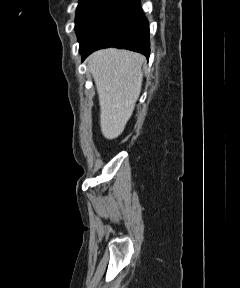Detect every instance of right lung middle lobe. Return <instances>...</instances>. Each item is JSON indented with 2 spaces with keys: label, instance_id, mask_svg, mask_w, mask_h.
I'll use <instances>...</instances> for the list:
<instances>
[{
  "label": "right lung middle lobe",
  "instance_id": "dd1d6c3e",
  "mask_svg": "<svg viewBox=\"0 0 240 288\" xmlns=\"http://www.w3.org/2000/svg\"><path fill=\"white\" fill-rule=\"evenodd\" d=\"M121 0H79L75 28L80 46L88 42L105 18Z\"/></svg>",
  "mask_w": 240,
  "mask_h": 288
}]
</instances>
